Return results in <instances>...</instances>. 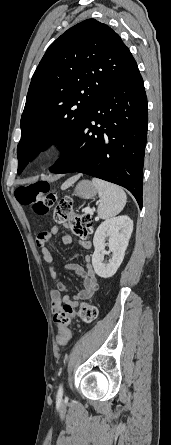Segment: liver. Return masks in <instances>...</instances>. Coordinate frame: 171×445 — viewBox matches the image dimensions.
Here are the masks:
<instances>
[{
  "mask_svg": "<svg viewBox=\"0 0 171 445\" xmlns=\"http://www.w3.org/2000/svg\"><path fill=\"white\" fill-rule=\"evenodd\" d=\"M76 179H77V177L69 179L66 183H64L63 187L66 188V187L70 186Z\"/></svg>",
  "mask_w": 171,
  "mask_h": 445,
  "instance_id": "obj_1",
  "label": "liver"
}]
</instances>
